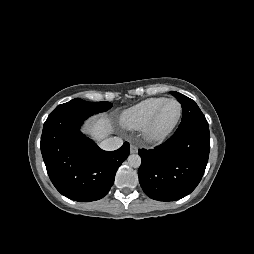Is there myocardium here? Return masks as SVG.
I'll return each mask as SVG.
<instances>
[{"instance_id":"f54148a6","label":"myocardium","mask_w":254,"mask_h":254,"mask_svg":"<svg viewBox=\"0 0 254 254\" xmlns=\"http://www.w3.org/2000/svg\"><path fill=\"white\" fill-rule=\"evenodd\" d=\"M167 102L177 103V105L179 107L178 115L170 127H168L167 129H165L163 131L158 132L155 130V124H156L157 118L161 112L163 105ZM181 116H182L181 103L175 98H165L159 104V106L155 109V111L153 112V114L151 115L149 120L143 126L142 133H143L144 139L150 143H160V142L164 141L166 138H168L173 133V131L175 130V128L177 127V125L181 119Z\"/></svg>"}]
</instances>
